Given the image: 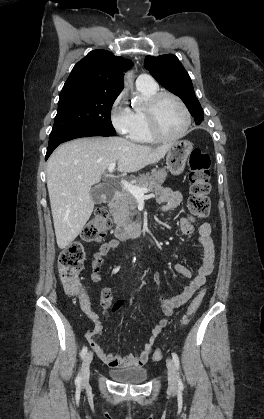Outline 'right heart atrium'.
<instances>
[{
	"label": "right heart atrium",
	"instance_id": "d8ad5b80",
	"mask_svg": "<svg viewBox=\"0 0 264 419\" xmlns=\"http://www.w3.org/2000/svg\"><path fill=\"white\" fill-rule=\"evenodd\" d=\"M124 95L121 93L112 104L110 117L115 130L122 135H128L132 127V114L123 107Z\"/></svg>",
	"mask_w": 264,
	"mask_h": 419
}]
</instances>
